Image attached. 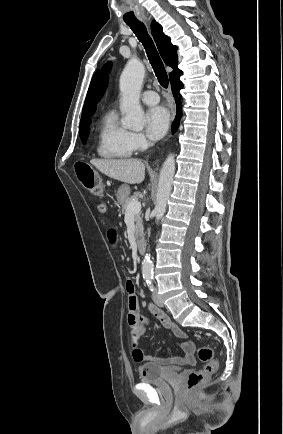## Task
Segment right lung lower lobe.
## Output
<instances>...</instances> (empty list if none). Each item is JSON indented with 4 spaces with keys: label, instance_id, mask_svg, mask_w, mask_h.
<instances>
[{
    "label": "right lung lower lobe",
    "instance_id": "right-lung-lower-lobe-1",
    "mask_svg": "<svg viewBox=\"0 0 283 434\" xmlns=\"http://www.w3.org/2000/svg\"><path fill=\"white\" fill-rule=\"evenodd\" d=\"M181 74L182 73L177 74L176 76H174L170 80L172 93H173V96L175 98V102L177 105V111H176L177 115H176L175 122L173 123V126H172L173 132H175L177 130L179 123H180V119L182 117V104H181V99L179 96V90L183 87V84L179 79Z\"/></svg>",
    "mask_w": 283,
    "mask_h": 434
}]
</instances>
